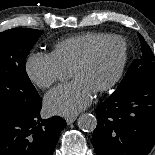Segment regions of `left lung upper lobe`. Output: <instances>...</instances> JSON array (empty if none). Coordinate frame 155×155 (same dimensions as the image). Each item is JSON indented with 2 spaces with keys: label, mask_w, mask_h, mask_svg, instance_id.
Returning <instances> with one entry per match:
<instances>
[{
  "label": "left lung upper lobe",
  "mask_w": 155,
  "mask_h": 155,
  "mask_svg": "<svg viewBox=\"0 0 155 155\" xmlns=\"http://www.w3.org/2000/svg\"><path fill=\"white\" fill-rule=\"evenodd\" d=\"M138 36L141 42V55L132 62L117 90H125L155 76L154 55L144 38L140 34Z\"/></svg>",
  "instance_id": "left-lung-upper-lobe-1"
}]
</instances>
